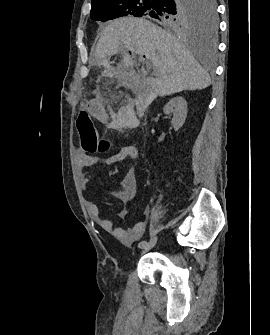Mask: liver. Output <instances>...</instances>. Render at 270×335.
<instances>
[{"instance_id": "6515ba94", "label": "liver", "mask_w": 270, "mask_h": 335, "mask_svg": "<svg viewBox=\"0 0 270 335\" xmlns=\"http://www.w3.org/2000/svg\"><path fill=\"white\" fill-rule=\"evenodd\" d=\"M128 52L145 56L153 64L157 78L140 80L151 98L171 96L182 90H203L211 84L208 72L198 64L189 48L145 18L127 16L110 22L96 46L95 62L114 74H124L133 66ZM113 54H124L117 68L109 66L108 58Z\"/></svg>"}]
</instances>
